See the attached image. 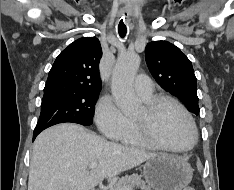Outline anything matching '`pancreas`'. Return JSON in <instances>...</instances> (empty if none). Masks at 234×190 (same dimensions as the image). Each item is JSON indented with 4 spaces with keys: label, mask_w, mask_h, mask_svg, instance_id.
<instances>
[{
    "label": "pancreas",
    "mask_w": 234,
    "mask_h": 190,
    "mask_svg": "<svg viewBox=\"0 0 234 190\" xmlns=\"http://www.w3.org/2000/svg\"><path fill=\"white\" fill-rule=\"evenodd\" d=\"M126 187H130L131 189L139 187L141 190H151V188L146 185L145 181H143L138 174L122 177L110 190H120Z\"/></svg>",
    "instance_id": "obj_1"
}]
</instances>
